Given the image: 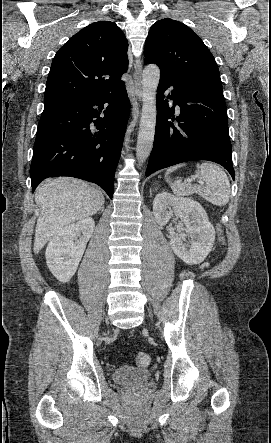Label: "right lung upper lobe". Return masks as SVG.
<instances>
[{
  "label": "right lung upper lobe",
  "instance_id": "obj_1",
  "mask_svg": "<svg viewBox=\"0 0 271 443\" xmlns=\"http://www.w3.org/2000/svg\"><path fill=\"white\" fill-rule=\"evenodd\" d=\"M128 43L111 21L88 25L56 53L46 83L44 104L101 96L124 87Z\"/></svg>",
  "mask_w": 271,
  "mask_h": 443
}]
</instances>
